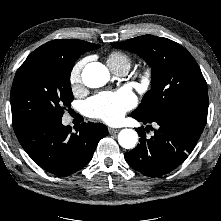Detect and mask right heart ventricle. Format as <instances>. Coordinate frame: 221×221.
Wrapping results in <instances>:
<instances>
[{
    "label": "right heart ventricle",
    "instance_id": "obj_1",
    "mask_svg": "<svg viewBox=\"0 0 221 221\" xmlns=\"http://www.w3.org/2000/svg\"><path fill=\"white\" fill-rule=\"evenodd\" d=\"M107 63L111 69L123 66L129 69L131 66V59L126 54L115 51L109 54L107 58Z\"/></svg>",
    "mask_w": 221,
    "mask_h": 221
}]
</instances>
